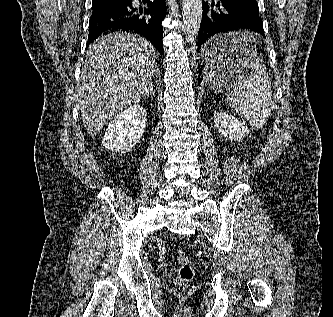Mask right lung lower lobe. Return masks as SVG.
Returning a JSON list of instances; mask_svg holds the SVG:
<instances>
[{
    "instance_id": "right-lung-lower-lobe-1",
    "label": "right lung lower lobe",
    "mask_w": 333,
    "mask_h": 317,
    "mask_svg": "<svg viewBox=\"0 0 333 317\" xmlns=\"http://www.w3.org/2000/svg\"><path fill=\"white\" fill-rule=\"evenodd\" d=\"M149 8H135L132 0L92 6L88 45L110 30L133 31L143 35L164 55L162 21L166 16L165 0H146Z\"/></svg>"
}]
</instances>
